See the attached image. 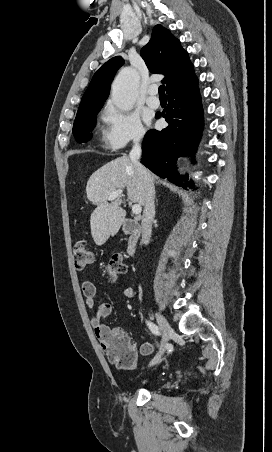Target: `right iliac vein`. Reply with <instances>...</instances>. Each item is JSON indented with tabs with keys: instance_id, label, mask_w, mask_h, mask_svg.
I'll return each instance as SVG.
<instances>
[{
	"instance_id": "right-iliac-vein-1",
	"label": "right iliac vein",
	"mask_w": 272,
	"mask_h": 452,
	"mask_svg": "<svg viewBox=\"0 0 272 452\" xmlns=\"http://www.w3.org/2000/svg\"><path fill=\"white\" fill-rule=\"evenodd\" d=\"M156 320L159 324V327L163 333V339H162V346L159 351V353L156 355V357L150 362V365H154L161 361V358L165 352L166 345L169 342V339L173 333V329L170 326L169 322L166 320V318L161 315L159 312H155Z\"/></svg>"
}]
</instances>
